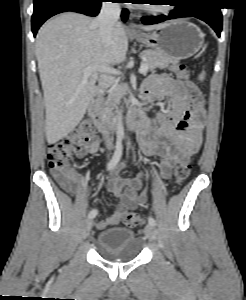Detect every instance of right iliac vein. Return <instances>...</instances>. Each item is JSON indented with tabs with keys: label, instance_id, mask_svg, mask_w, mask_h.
<instances>
[{
	"label": "right iliac vein",
	"instance_id": "obj_1",
	"mask_svg": "<svg viewBox=\"0 0 246 300\" xmlns=\"http://www.w3.org/2000/svg\"><path fill=\"white\" fill-rule=\"evenodd\" d=\"M91 227H92V220L89 219L85 223L84 232H83V238H86V236L88 235Z\"/></svg>",
	"mask_w": 246,
	"mask_h": 300
}]
</instances>
